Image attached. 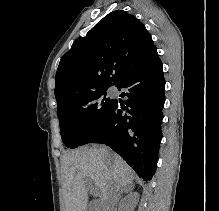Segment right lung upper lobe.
Masks as SVG:
<instances>
[{"label": "right lung upper lobe", "mask_w": 219, "mask_h": 211, "mask_svg": "<svg viewBox=\"0 0 219 211\" xmlns=\"http://www.w3.org/2000/svg\"><path fill=\"white\" fill-rule=\"evenodd\" d=\"M157 56L145 26L123 10L113 11L62 56L56 73L57 103L115 86Z\"/></svg>", "instance_id": "right-lung-upper-lobe-1"}]
</instances>
